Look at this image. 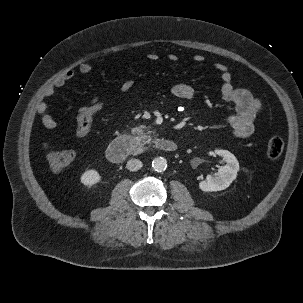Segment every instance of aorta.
Here are the masks:
<instances>
[{"instance_id": "762f6f07", "label": "aorta", "mask_w": 303, "mask_h": 303, "mask_svg": "<svg viewBox=\"0 0 303 303\" xmlns=\"http://www.w3.org/2000/svg\"><path fill=\"white\" fill-rule=\"evenodd\" d=\"M152 168L156 172H163L167 168V160L163 157H157L152 161Z\"/></svg>"}]
</instances>
